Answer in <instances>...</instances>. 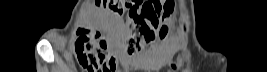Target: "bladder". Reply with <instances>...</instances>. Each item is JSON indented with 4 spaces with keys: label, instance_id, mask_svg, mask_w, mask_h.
Instances as JSON below:
<instances>
[{
    "label": "bladder",
    "instance_id": "bladder-1",
    "mask_svg": "<svg viewBox=\"0 0 267 72\" xmlns=\"http://www.w3.org/2000/svg\"><path fill=\"white\" fill-rule=\"evenodd\" d=\"M113 20H115V21H117V22H118V20H117L115 17L113 18ZM111 21H112V19H111Z\"/></svg>",
    "mask_w": 267,
    "mask_h": 72
}]
</instances>
